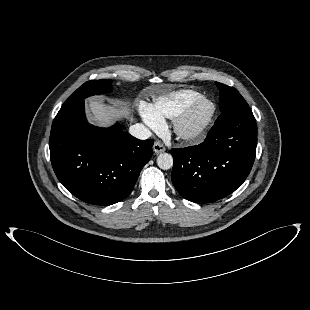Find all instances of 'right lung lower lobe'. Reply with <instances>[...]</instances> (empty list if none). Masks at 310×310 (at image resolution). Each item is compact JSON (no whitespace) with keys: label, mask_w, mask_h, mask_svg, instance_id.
Segmentation results:
<instances>
[{"label":"right lung lower lobe","mask_w":310,"mask_h":310,"mask_svg":"<svg viewBox=\"0 0 310 310\" xmlns=\"http://www.w3.org/2000/svg\"><path fill=\"white\" fill-rule=\"evenodd\" d=\"M50 157L59 181L77 198L111 205L127 197L152 156L153 140L90 125L84 99L63 105L50 134Z\"/></svg>","instance_id":"98d812e1"}]
</instances>
